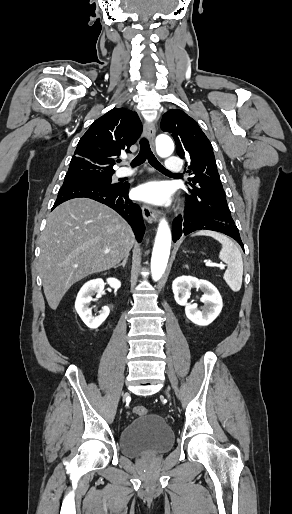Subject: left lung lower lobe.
<instances>
[{
	"label": "left lung lower lobe",
	"instance_id": "obj_1",
	"mask_svg": "<svg viewBox=\"0 0 292 514\" xmlns=\"http://www.w3.org/2000/svg\"><path fill=\"white\" fill-rule=\"evenodd\" d=\"M186 198L184 214L177 216L172 224V239L174 242L181 235H188L196 230H212L232 237L244 249L238 228L234 224L230 212L221 208L208 209L201 201L190 197Z\"/></svg>",
	"mask_w": 292,
	"mask_h": 514
}]
</instances>
